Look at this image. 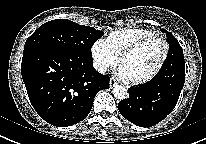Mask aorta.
<instances>
[{"instance_id": "obj_1", "label": "aorta", "mask_w": 206, "mask_h": 144, "mask_svg": "<svg viewBox=\"0 0 206 144\" xmlns=\"http://www.w3.org/2000/svg\"><path fill=\"white\" fill-rule=\"evenodd\" d=\"M115 98L123 100L128 97V91L125 86L116 85L112 91Z\"/></svg>"}]
</instances>
